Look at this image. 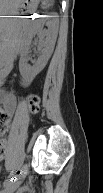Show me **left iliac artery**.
<instances>
[{
    "label": "left iliac artery",
    "mask_w": 103,
    "mask_h": 193,
    "mask_svg": "<svg viewBox=\"0 0 103 193\" xmlns=\"http://www.w3.org/2000/svg\"><path fill=\"white\" fill-rule=\"evenodd\" d=\"M25 158V152L23 151L14 167L12 170L11 174L9 175L8 179L5 180L4 186H10L13 182L17 180V176L20 173L21 166L23 164Z\"/></svg>",
    "instance_id": "left-iliac-artery-1"
}]
</instances>
